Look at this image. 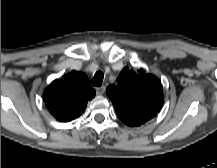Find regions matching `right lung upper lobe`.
Listing matches in <instances>:
<instances>
[{
    "instance_id": "obj_1",
    "label": "right lung upper lobe",
    "mask_w": 217,
    "mask_h": 168,
    "mask_svg": "<svg viewBox=\"0 0 217 168\" xmlns=\"http://www.w3.org/2000/svg\"><path fill=\"white\" fill-rule=\"evenodd\" d=\"M95 96L85 74L73 71L54 80L44 92L49 112L61 122H69L81 115L88 100Z\"/></svg>"
}]
</instances>
